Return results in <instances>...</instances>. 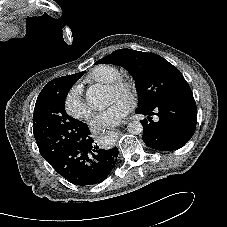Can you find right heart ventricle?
<instances>
[{
    "instance_id": "1",
    "label": "right heart ventricle",
    "mask_w": 227,
    "mask_h": 227,
    "mask_svg": "<svg viewBox=\"0 0 227 227\" xmlns=\"http://www.w3.org/2000/svg\"><path fill=\"white\" fill-rule=\"evenodd\" d=\"M119 74L120 71L116 66L111 64H100L89 71L84 81L107 84Z\"/></svg>"
}]
</instances>
